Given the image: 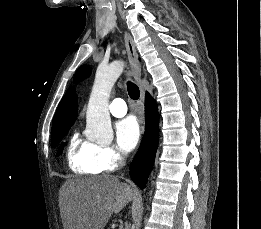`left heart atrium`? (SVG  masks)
<instances>
[{
    "label": "left heart atrium",
    "instance_id": "1",
    "mask_svg": "<svg viewBox=\"0 0 261 229\" xmlns=\"http://www.w3.org/2000/svg\"><path fill=\"white\" fill-rule=\"evenodd\" d=\"M115 132L117 143L125 152L133 150L140 140V126L133 117L119 121L116 124Z\"/></svg>",
    "mask_w": 261,
    "mask_h": 229
}]
</instances>
